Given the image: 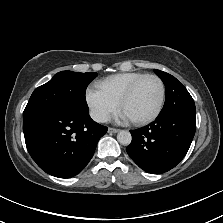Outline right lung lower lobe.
<instances>
[{"label": "right lung lower lobe", "mask_w": 223, "mask_h": 223, "mask_svg": "<svg viewBox=\"0 0 223 223\" xmlns=\"http://www.w3.org/2000/svg\"><path fill=\"white\" fill-rule=\"evenodd\" d=\"M23 132L28 152L42 170L70 178L88 164L107 127L89 114L51 110L23 116Z\"/></svg>", "instance_id": "right-lung-lower-lobe-1"}]
</instances>
